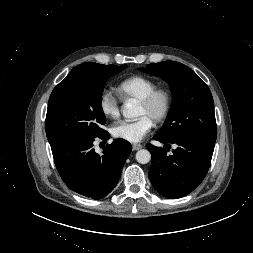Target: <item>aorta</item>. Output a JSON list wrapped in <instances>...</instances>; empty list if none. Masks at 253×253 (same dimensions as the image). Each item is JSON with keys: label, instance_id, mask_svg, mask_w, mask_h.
Instances as JSON below:
<instances>
[{"label": "aorta", "instance_id": "1", "mask_svg": "<svg viewBox=\"0 0 253 253\" xmlns=\"http://www.w3.org/2000/svg\"><path fill=\"white\" fill-rule=\"evenodd\" d=\"M122 115L126 119H135L139 116V106L129 101L122 108ZM136 160L140 164H147L151 160V153L146 149H141L136 153Z\"/></svg>", "mask_w": 253, "mask_h": 253}]
</instances>
